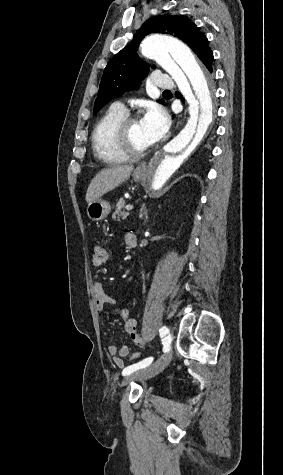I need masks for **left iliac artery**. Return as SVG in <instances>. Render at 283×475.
<instances>
[{"instance_id":"obj_1","label":"left iliac artery","mask_w":283,"mask_h":475,"mask_svg":"<svg viewBox=\"0 0 283 475\" xmlns=\"http://www.w3.org/2000/svg\"><path fill=\"white\" fill-rule=\"evenodd\" d=\"M159 332H160V336L164 337L169 332V329L166 326H163L159 330ZM152 361H153V357H148V358L144 359L143 361H141L137 364H133L131 366H128L127 368H125L123 370L122 375L126 376V375H129V374L133 373L134 371H136L138 369L145 368V367L149 366L152 363Z\"/></svg>"}]
</instances>
